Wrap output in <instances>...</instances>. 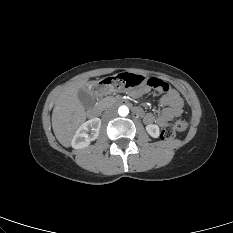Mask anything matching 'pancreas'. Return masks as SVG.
Listing matches in <instances>:
<instances>
[{"label": "pancreas", "instance_id": "obj_1", "mask_svg": "<svg viewBox=\"0 0 233 233\" xmlns=\"http://www.w3.org/2000/svg\"><path fill=\"white\" fill-rule=\"evenodd\" d=\"M113 104V98L112 97H107L103 98L99 101V105H103L105 107L110 106Z\"/></svg>", "mask_w": 233, "mask_h": 233}]
</instances>
